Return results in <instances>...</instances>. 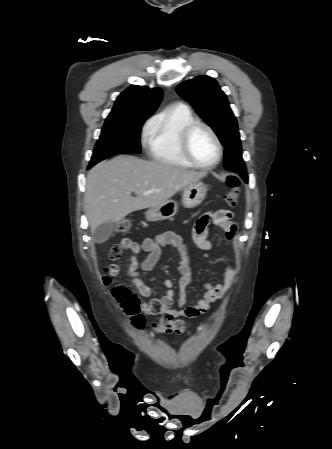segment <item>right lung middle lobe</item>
Segmentation results:
<instances>
[{
  "mask_svg": "<svg viewBox=\"0 0 332 449\" xmlns=\"http://www.w3.org/2000/svg\"><path fill=\"white\" fill-rule=\"evenodd\" d=\"M147 118L148 116L107 118L88 169L116 154L140 153V131Z\"/></svg>",
  "mask_w": 332,
  "mask_h": 449,
  "instance_id": "1",
  "label": "right lung middle lobe"
}]
</instances>
